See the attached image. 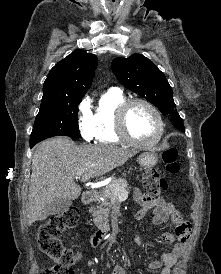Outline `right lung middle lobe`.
<instances>
[{
	"mask_svg": "<svg viewBox=\"0 0 221 274\" xmlns=\"http://www.w3.org/2000/svg\"><path fill=\"white\" fill-rule=\"evenodd\" d=\"M82 98L42 100L30 136V145L53 136L80 137L78 105Z\"/></svg>",
	"mask_w": 221,
	"mask_h": 274,
	"instance_id": "1",
	"label": "right lung middle lobe"
}]
</instances>
